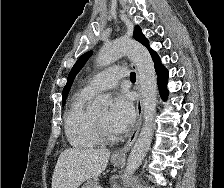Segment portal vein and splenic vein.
Listing matches in <instances>:
<instances>
[{
  "mask_svg": "<svg viewBox=\"0 0 224 188\" xmlns=\"http://www.w3.org/2000/svg\"><path fill=\"white\" fill-rule=\"evenodd\" d=\"M95 188H102L101 186L97 185Z\"/></svg>",
  "mask_w": 224,
  "mask_h": 188,
  "instance_id": "portal-vein-and-splenic-vein-1",
  "label": "portal vein and splenic vein"
}]
</instances>
